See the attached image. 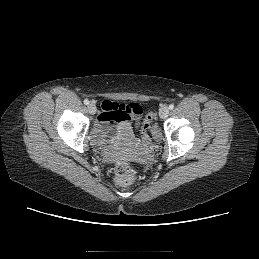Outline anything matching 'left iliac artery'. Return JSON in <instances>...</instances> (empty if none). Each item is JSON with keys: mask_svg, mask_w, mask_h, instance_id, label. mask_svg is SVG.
I'll return each instance as SVG.
<instances>
[{"mask_svg": "<svg viewBox=\"0 0 259 259\" xmlns=\"http://www.w3.org/2000/svg\"><path fill=\"white\" fill-rule=\"evenodd\" d=\"M174 108V104L169 105V109L172 110Z\"/></svg>", "mask_w": 259, "mask_h": 259, "instance_id": "1", "label": "left iliac artery"}]
</instances>
